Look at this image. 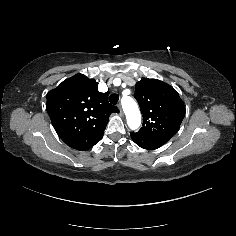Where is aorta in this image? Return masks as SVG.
I'll use <instances>...</instances> for the list:
<instances>
[{"label": "aorta", "instance_id": "aorta-1", "mask_svg": "<svg viewBox=\"0 0 236 236\" xmlns=\"http://www.w3.org/2000/svg\"><path fill=\"white\" fill-rule=\"evenodd\" d=\"M123 111L126 115L127 124L131 129H137L141 124V114L137 103L130 96L121 99Z\"/></svg>", "mask_w": 236, "mask_h": 236}]
</instances>
